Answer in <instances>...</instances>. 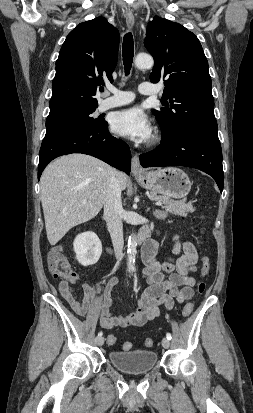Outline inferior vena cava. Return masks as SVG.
I'll use <instances>...</instances> for the list:
<instances>
[{"instance_id":"inferior-vena-cava-1","label":"inferior vena cava","mask_w":253,"mask_h":413,"mask_svg":"<svg viewBox=\"0 0 253 413\" xmlns=\"http://www.w3.org/2000/svg\"><path fill=\"white\" fill-rule=\"evenodd\" d=\"M121 191L118 172L114 169L107 184L104 216L118 261L121 259L124 246Z\"/></svg>"}]
</instances>
